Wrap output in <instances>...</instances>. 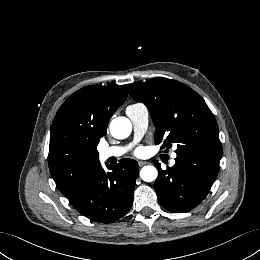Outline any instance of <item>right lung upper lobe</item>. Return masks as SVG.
<instances>
[{
	"label": "right lung upper lobe",
	"mask_w": 260,
	"mask_h": 260,
	"mask_svg": "<svg viewBox=\"0 0 260 260\" xmlns=\"http://www.w3.org/2000/svg\"><path fill=\"white\" fill-rule=\"evenodd\" d=\"M127 95L128 85L86 86L73 93L58 110L50 132L49 169L68 200L101 166L97 145Z\"/></svg>",
	"instance_id": "cb5924a9"
}]
</instances>
